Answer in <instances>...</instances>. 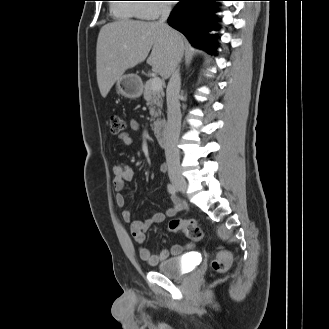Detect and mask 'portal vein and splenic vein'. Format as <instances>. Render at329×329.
I'll return each mask as SVG.
<instances>
[{
	"label": "portal vein and splenic vein",
	"instance_id": "1",
	"mask_svg": "<svg viewBox=\"0 0 329 329\" xmlns=\"http://www.w3.org/2000/svg\"><path fill=\"white\" fill-rule=\"evenodd\" d=\"M151 87L154 91L160 90L162 88V80L159 77H153L151 79Z\"/></svg>",
	"mask_w": 329,
	"mask_h": 329
}]
</instances>
